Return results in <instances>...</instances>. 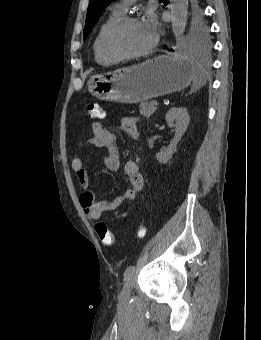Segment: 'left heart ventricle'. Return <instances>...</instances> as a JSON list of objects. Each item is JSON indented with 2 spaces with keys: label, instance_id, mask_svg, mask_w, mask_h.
Instances as JSON below:
<instances>
[{
  "label": "left heart ventricle",
  "instance_id": "1",
  "mask_svg": "<svg viewBox=\"0 0 261 340\" xmlns=\"http://www.w3.org/2000/svg\"><path fill=\"white\" fill-rule=\"evenodd\" d=\"M153 37L143 23H132L117 35L115 47L124 53H135L148 47Z\"/></svg>",
  "mask_w": 261,
  "mask_h": 340
}]
</instances>
